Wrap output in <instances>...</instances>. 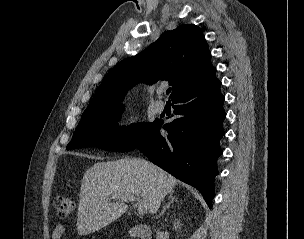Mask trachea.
Returning <instances> with one entry per match:
<instances>
[{"instance_id": "trachea-1", "label": "trachea", "mask_w": 304, "mask_h": 239, "mask_svg": "<svg viewBox=\"0 0 304 239\" xmlns=\"http://www.w3.org/2000/svg\"><path fill=\"white\" fill-rule=\"evenodd\" d=\"M170 92H171V88H168L166 94H169Z\"/></svg>"}]
</instances>
